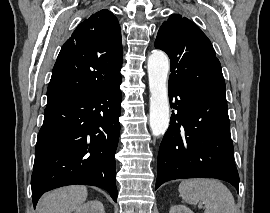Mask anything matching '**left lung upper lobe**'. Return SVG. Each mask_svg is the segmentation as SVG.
<instances>
[{
  "label": "left lung upper lobe",
  "mask_w": 270,
  "mask_h": 213,
  "mask_svg": "<svg viewBox=\"0 0 270 213\" xmlns=\"http://www.w3.org/2000/svg\"><path fill=\"white\" fill-rule=\"evenodd\" d=\"M155 47L171 60L169 86L226 102L221 64L210 40L195 23L170 15L158 31Z\"/></svg>",
  "instance_id": "obj_1"
}]
</instances>
